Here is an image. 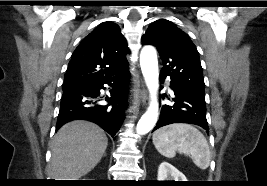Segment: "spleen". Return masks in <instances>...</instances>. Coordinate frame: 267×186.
Instances as JSON below:
<instances>
[{"label": "spleen", "instance_id": "obj_1", "mask_svg": "<svg viewBox=\"0 0 267 186\" xmlns=\"http://www.w3.org/2000/svg\"><path fill=\"white\" fill-rule=\"evenodd\" d=\"M153 144L157 151L173 158L176 151L189 156L200 169H206L211 161V153L204 135L194 126L184 123L171 124L158 129L153 134Z\"/></svg>", "mask_w": 267, "mask_h": 186}]
</instances>
